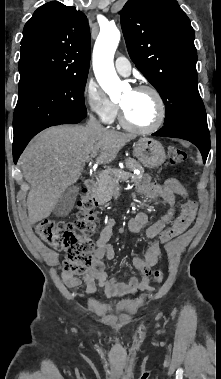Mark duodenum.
I'll return each instance as SVG.
<instances>
[{"label": "duodenum", "instance_id": "1", "mask_svg": "<svg viewBox=\"0 0 221 379\" xmlns=\"http://www.w3.org/2000/svg\"><path fill=\"white\" fill-rule=\"evenodd\" d=\"M93 191H94V184H93V182L90 181V180L85 181L84 185H83V192H84V194L88 198L93 199V197H94Z\"/></svg>", "mask_w": 221, "mask_h": 379}]
</instances>
